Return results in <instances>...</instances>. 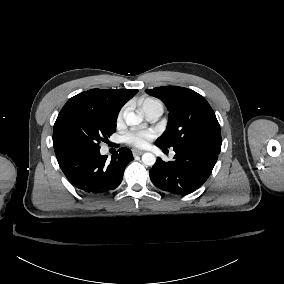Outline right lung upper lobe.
Masks as SVG:
<instances>
[{"label":"right lung upper lobe","mask_w":284,"mask_h":284,"mask_svg":"<svg viewBox=\"0 0 284 284\" xmlns=\"http://www.w3.org/2000/svg\"><path fill=\"white\" fill-rule=\"evenodd\" d=\"M137 89L115 90V89H91L75 95L68 101H83L93 104L111 116H118L122 106L131 99ZM57 159L65 154L60 153L54 146Z\"/></svg>","instance_id":"obj_1"}]
</instances>
